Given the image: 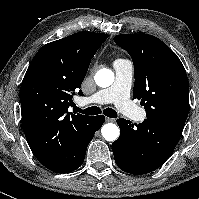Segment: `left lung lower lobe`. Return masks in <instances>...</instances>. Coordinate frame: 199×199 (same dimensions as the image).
Wrapping results in <instances>:
<instances>
[{"label": "left lung lower lobe", "instance_id": "left-lung-lower-lobe-1", "mask_svg": "<svg viewBox=\"0 0 199 199\" xmlns=\"http://www.w3.org/2000/svg\"><path fill=\"white\" fill-rule=\"evenodd\" d=\"M119 138L112 143L114 159L120 169L130 174L150 173L170 157L182 131L169 128L154 120L140 124L119 118Z\"/></svg>", "mask_w": 199, "mask_h": 199}]
</instances>
